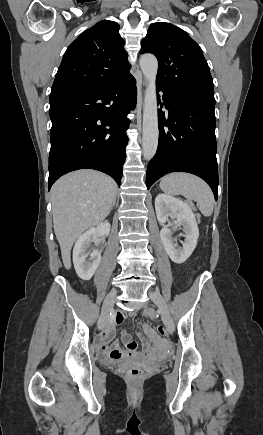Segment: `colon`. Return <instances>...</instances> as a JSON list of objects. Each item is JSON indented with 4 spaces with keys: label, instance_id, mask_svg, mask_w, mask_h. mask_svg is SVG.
Returning <instances> with one entry per match:
<instances>
[{
    "label": "colon",
    "instance_id": "obj_1",
    "mask_svg": "<svg viewBox=\"0 0 263 435\" xmlns=\"http://www.w3.org/2000/svg\"><path fill=\"white\" fill-rule=\"evenodd\" d=\"M156 327L158 328L159 334H162V336L165 335V329L161 324H158ZM143 375L144 370L140 366H132L125 373V377L132 382L139 381L143 377Z\"/></svg>",
    "mask_w": 263,
    "mask_h": 435
}]
</instances>
